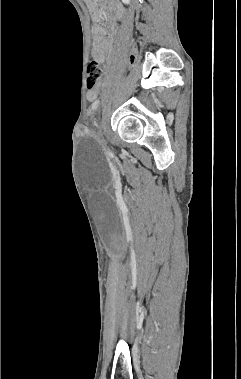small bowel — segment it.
Wrapping results in <instances>:
<instances>
[{
  "instance_id": "small-bowel-1",
  "label": "small bowel",
  "mask_w": 241,
  "mask_h": 379,
  "mask_svg": "<svg viewBox=\"0 0 241 379\" xmlns=\"http://www.w3.org/2000/svg\"><path fill=\"white\" fill-rule=\"evenodd\" d=\"M105 6L107 9H116L112 0H106ZM92 9L94 13L97 15L96 7L92 6ZM105 35L106 32L104 28L100 25H97L94 31L92 54L93 57L100 63H103L106 60L107 49L109 46V43ZM96 98V89H89L87 92V99L89 101H95Z\"/></svg>"
}]
</instances>
